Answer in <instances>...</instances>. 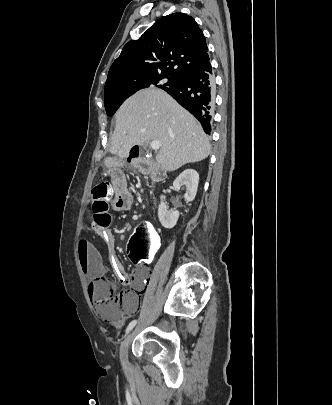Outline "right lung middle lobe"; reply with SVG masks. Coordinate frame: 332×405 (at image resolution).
I'll use <instances>...</instances> for the list:
<instances>
[{
    "mask_svg": "<svg viewBox=\"0 0 332 405\" xmlns=\"http://www.w3.org/2000/svg\"><path fill=\"white\" fill-rule=\"evenodd\" d=\"M167 79V82L165 81ZM180 81L179 76L173 75H131L120 78L105 87V110L112 116L120 105L140 89L158 87L165 91L174 88Z\"/></svg>",
    "mask_w": 332,
    "mask_h": 405,
    "instance_id": "1",
    "label": "right lung middle lobe"
}]
</instances>
